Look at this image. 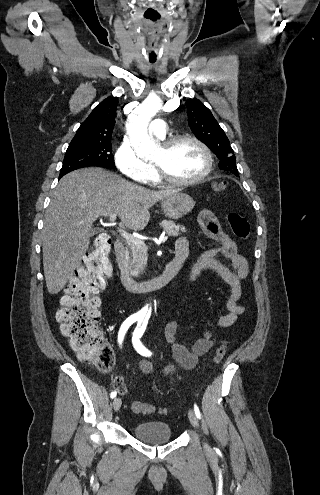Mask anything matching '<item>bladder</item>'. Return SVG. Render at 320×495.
Listing matches in <instances>:
<instances>
[{
    "label": "bladder",
    "mask_w": 320,
    "mask_h": 495,
    "mask_svg": "<svg viewBox=\"0 0 320 495\" xmlns=\"http://www.w3.org/2000/svg\"><path fill=\"white\" fill-rule=\"evenodd\" d=\"M136 438L146 443H167L172 438L170 426L161 421H147L135 425Z\"/></svg>",
    "instance_id": "bladder-1"
}]
</instances>
